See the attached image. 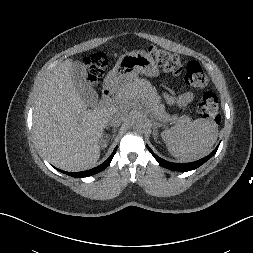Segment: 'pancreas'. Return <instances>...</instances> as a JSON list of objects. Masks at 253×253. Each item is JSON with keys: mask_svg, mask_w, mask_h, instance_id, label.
Instances as JSON below:
<instances>
[{"mask_svg": "<svg viewBox=\"0 0 253 253\" xmlns=\"http://www.w3.org/2000/svg\"><path fill=\"white\" fill-rule=\"evenodd\" d=\"M140 95L147 105L151 108L155 116L162 121L173 120L178 124H188L190 122V117L187 115H182L180 117L173 116L172 118L165 113V107L160 103V97L147 81L135 80L128 81L123 84L116 93V98L120 102H124L132 97Z\"/></svg>", "mask_w": 253, "mask_h": 253, "instance_id": "pancreas-1", "label": "pancreas"}]
</instances>
